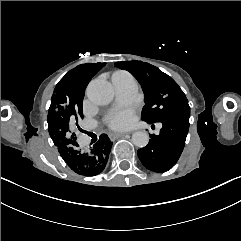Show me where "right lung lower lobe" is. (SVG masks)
I'll list each match as a JSON object with an SVG mask.
<instances>
[{
    "mask_svg": "<svg viewBox=\"0 0 241 241\" xmlns=\"http://www.w3.org/2000/svg\"><path fill=\"white\" fill-rule=\"evenodd\" d=\"M112 144L108 136L102 134L88 151L79 149L76 141L57 147L65 163L74 172L83 176H95L105 169Z\"/></svg>",
    "mask_w": 241,
    "mask_h": 241,
    "instance_id": "1",
    "label": "right lung lower lobe"
}]
</instances>
